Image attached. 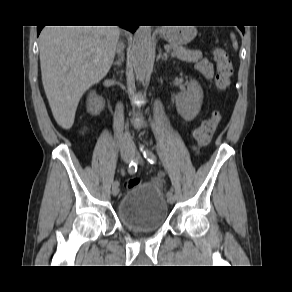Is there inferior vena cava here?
<instances>
[{
	"instance_id": "602c4592",
	"label": "inferior vena cava",
	"mask_w": 292,
	"mask_h": 292,
	"mask_svg": "<svg viewBox=\"0 0 292 292\" xmlns=\"http://www.w3.org/2000/svg\"><path fill=\"white\" fill-rule=\"evenodd\" d=\"M124 49L123 43H118L117 45V53L120 54ZM134 142L132 137L128 131H125L121 138V150L122 151H133L134 150Z\"/></svg>"
}]
</instances>
